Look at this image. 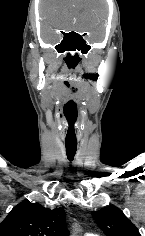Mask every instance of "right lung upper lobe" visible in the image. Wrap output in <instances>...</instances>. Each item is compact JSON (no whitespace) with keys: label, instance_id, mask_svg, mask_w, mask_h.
Segmentation results:
<instances>
[{"label":"right lung upper lobe","instance_id":"obj_1","mask_svg":"<svg viewBox=\"0 0 145 236\" xmlns=\"http://www.w3.org/2000/svg\"><path fill=\"white\" fill-rule=\"evenodd\" d=\"M66 214L38 203L23 201L0 223V236H68Z\"/></svg>","mask_w":145,"mask_h":236}]
</instances>
